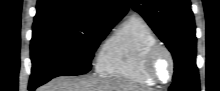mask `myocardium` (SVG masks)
<instances>
[{
	"label": "myocardium",
	"instance_id": "f54148a6",
	"mask_svg": "<svg viewBox=\"0 0 220 91\" xmlns=\"http://www.w3.org/2000/svg\"><path fill=\"white\" fill-rule=\"evenodd\" d=\"M160 54H165L169 60L170 72L169 76L166 80H161L156 71H155V63ZM143 70L145 75L152 80L154 83L165 85L172 81L175 73V60L172 52L166 46L162 44L153 45L145 54L143 58Z\"/></svg>",
	"mask_w": 220,
	"mask_h": 91
}]
</instances>
